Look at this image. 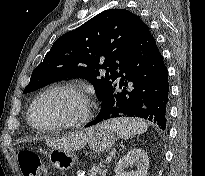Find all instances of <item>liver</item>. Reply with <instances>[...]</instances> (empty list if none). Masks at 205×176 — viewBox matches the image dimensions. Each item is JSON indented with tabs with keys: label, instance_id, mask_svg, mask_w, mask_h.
<instances>
[{
	"label": "liver",
	"instance_id": "1",
	"mask_svg": "<svg viewBox=\"0 0 205 176\" xmlns=\"http://www.w3.org/2000/svg\"><path fill=\"white\" fill-rule=\"evenodd\" d=\"M91 135V128L72 133L66 137L48 141L51 146L66 151L78 150L88 143Z\"/></svg>",
	"mask_w": 205,
	"mask_h": 176
}]
</instances>
